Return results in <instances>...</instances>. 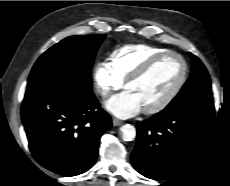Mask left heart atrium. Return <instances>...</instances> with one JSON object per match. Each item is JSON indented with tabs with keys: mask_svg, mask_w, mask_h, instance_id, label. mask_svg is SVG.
Here are the masks:
<instances>
[{
	"mask_svg": "<svg viewBox=\"0 0 230 186\" xmlns=\"http://www.w3.org/2000/svg\"><path fill=\"white\" fill-rule=\"evenodd\" d=\"M105 107L108 111L120 118H128L138 114L143 108L137 96L126 90L110 98Z\"/></svg>",
	"mask_w": 230,
	"mask_h": 186,
	"instance_id": "obj_1",
	"label": "left heart atrium"
}]
</instances>
